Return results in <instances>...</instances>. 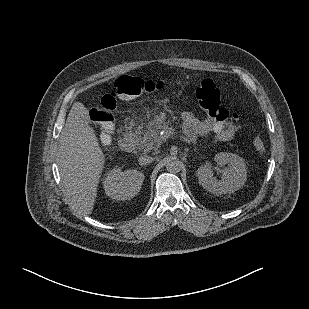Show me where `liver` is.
<instances>
[{"label": "liver", "instance_id": "liver-1", "mask_svg": "<svg viewBox=\"0 0 309 309\" xmlns=\"http://www.w3.org/2000/svg\"><path fill=\"white\" fill-rule=\"evenodd\" d=\"M88 110L75 102L60 134L58 166L71 202L85 214L93 210L97 185L105 158L94 129L89 125Z\"/></svg>", "mask_w": 309, "mask_h": 309}]
</instances>
